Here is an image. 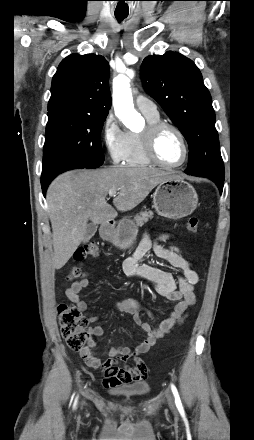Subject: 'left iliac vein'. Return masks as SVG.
I'll return each mask as SVG.
<instances>
[{"label":"left iliac vein","mask_w":254,"mask_h":440,"mask_svg":"<svg viewBox=\"0 0 254 440\" xmlns=\"http://www.w3.org/2000/svg\"><path fill=\"white\" fill-rule=\"evenodd\" d=\"M167 401L170 409L175 413L176 407H175L174 397L170 392L167 393Z\"/></svg>","instance_id":"4c4485c4"}]
</instances>
